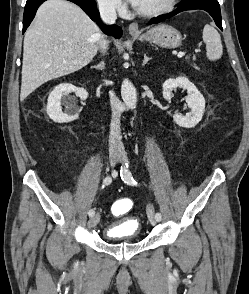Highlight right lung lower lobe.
I'll return each instance as SVG.
<instances>
[{
    "mask_svg": "<svg viewBox=\"0 0 249 294\" xmlns=\"http://www.w3.org/2000/svg\"><path fill=\"white\" fill-rule=\"evenodd\" d=\"M46 0H27L23 16V33L26 31L27 27L30 25L33 20L38 7ZM78 6H80L86 14L93 20L98 22L102 31L107 35L120 38L122 35V30L116 25L106 26L103 25L99 19V11L96 8L95 0H68Z\"/></svg>",
    "mask_w": 249,
    "mask_h": 294,
    "instance_id": "98d812e1",
    "label": "right lung lower lobe"
}]
</instances>
